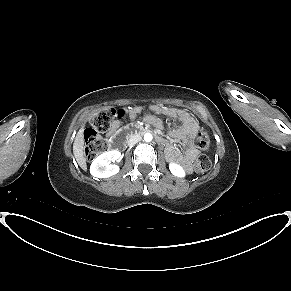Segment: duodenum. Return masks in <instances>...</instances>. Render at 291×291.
<instances>
[{
	"instance_id": "obj_1",
	"label": "duodenum",
	"mask_w": 291,
	"mask_h": 291,
	"mask_svg": "<svg viewBox=\"0 0 291 291\" xmlns=\"http://www.w3.org/2000/svg\"><path fill=\"white\" fill-rule=\"evenodd\" d=\"M151 129L149 127H145V125L141 122L129 124L122 131L118 132L115 136L114 140L110 141L108 148L110 152L117 154L124 150L125 141L132 137L133 134H137L139 136L149 134ZM153 139L156 143L163 142V138L158 134L153 136Z\"/></svg>"
}]
</instances>
